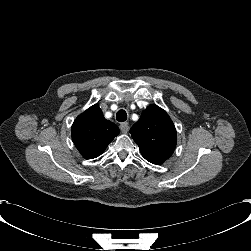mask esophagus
<instances>
[{"label": "esophagus", "instance_id": "1", "mask_svg": "<svg viewBox=\"0 0 251 251\" xmlns=\"http://www.w3.org/2000/svg\"><path fill=\"white\" fill-rule=\"evenodd\" d=\"M120 130L122 131V133H127L129 130V124L127 122L121 123Z\"/></svg>", "mask_w": 251, "mask_h": 251}]
</instances>
